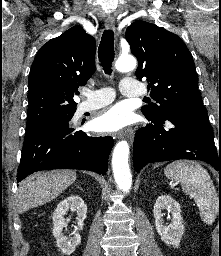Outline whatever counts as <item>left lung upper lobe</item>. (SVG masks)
I'll return each mask as SVG.
<instances>
[{
    "label": "left lung upper lobe",
    "instance_id": "1",
    "mask_svg": "<svg viewBox=\"0 0 221 256\" xmlns=\"http://www.w3.org/2000/svg\"><path fill=\"white\" fill-rule=\"evenodd\" d=\"M126 39L138 59L136 76L149 82L150 97L158 103L142 107L146 118L160 119L173 110L206 111L197 88L194 61L179 36L137 21L127 27Z\"/></svg>",
    "mask_w": 221,
    "mask_h": 256
}]
</instances>
